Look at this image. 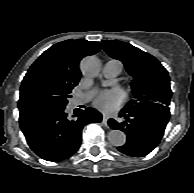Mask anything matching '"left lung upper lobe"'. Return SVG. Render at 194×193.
<instances>
[{
  "mask_svg": "<svg viewBox=\"0 0 194 193\" xmlns=\"http://www.w3.org/2000/svg\"><path fill=\"white\" fill-rule=\"evenodd\" d=\"M104 50L112 58L120 60L127 72L134 77L133 97L125 110L169 106L170 80L167 70L152 55L120 41H103Z\"/></svg>",
  "mask_w": 194,
  "mask_h": 193,
  "instance_id": "5c2ea615",
  "label": "left lung upper lobe"
}]
</instances>
